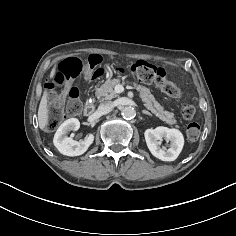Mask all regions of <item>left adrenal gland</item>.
Returning <instances> with one entry per match:
<instances>
[{"label": "left adrenal gland", "mask_w": 236, "mask_h": 236, "mask_svg": "<svg viewBox=\"0 0 236 236\" xmlns=\"http://www.w3.org/2000/svg\"><path fill=\"white\" fill-rule=\"evenodd\" d=\"M142 113L146 114V115H149V116H152V114L150 112H148L147 110H142Z\"/></svg>", "instance_id": "1"}]
</instances>
